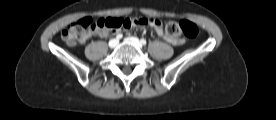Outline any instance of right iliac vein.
<instances>
[{
    "instance_id": "right-iliac-vein-1",
    "label": "right iliac vein",
    "mask_w": 276,
    "mask_h": 120,
    "mask_svg": "<svg viewBox=\"0 0 276 120\" xmlns=\"http://www.w3.org/2000/svg\"><path fill=\"white\" fill-rule=\"evenodd\" d=\"M118 40L117 39H112L109 41V47L110 48H115L118 45Z\"/></svg>"
}]
</instances>
